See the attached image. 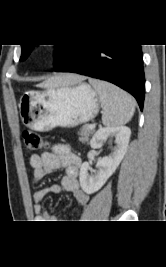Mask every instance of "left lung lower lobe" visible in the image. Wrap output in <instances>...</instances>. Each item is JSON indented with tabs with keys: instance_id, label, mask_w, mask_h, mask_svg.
Listing matches in <instances>:
<instances>
[{
	"instance_id": "left-lung-lower-lobe-1",
	"label": "left lung lower lobe",
	"mask_w": 166,
	"mask_h": 267,
	"mask_svg": "<svg viewBox=\"0 0 166 267\" xmlns=\"http://www.w3.org/2000/svg\"><path fill=\"white\" fill-rule=\"evenodd\" d=\"M54 71L111 82L132 94L143 109L145 78L141 45L68 44Z\"/></svg>"
}]
</instances>
